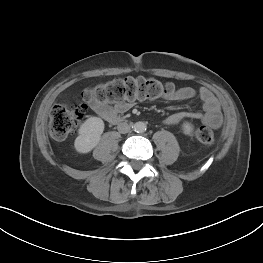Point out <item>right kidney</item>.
Instances as JSON below:
<instances>
[{"mask_svg": "<svg viewBox=\"0 0 263 263\" xmlns=\"http://www.w3.org/2000/svg\"><path fill=\"white\" fill-rule=\"evenodd\" d=\"M104 131V122L101 118H88L79 129V136L75 140V149L79 153H88L97 146Z\"/></svg>", "mask_w": 263, "mask_h": 263, "instance_id": "obj_1", "label": "right kidney"}]
</instances>
